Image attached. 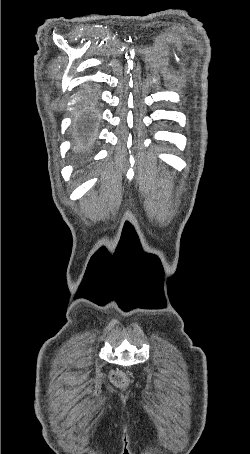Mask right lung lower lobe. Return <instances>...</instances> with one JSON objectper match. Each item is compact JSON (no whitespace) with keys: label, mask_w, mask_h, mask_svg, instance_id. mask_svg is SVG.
I'll list each match as a JSON object with an SVG mask.
<instances>
[{"label":"right lung lower lobe","mask_w":250,"mask_h":454,"mask_svg":"<svg viewBox=\"0 0 250 454\" xmlns=\"http://www.w3.org/2000/svg\"><path fill=\"white\" fill-rule=\"evenodd\" d=\"M99 123L98 95L91 87L85 86L80 93L73 122L74 129L81 142L90 144L96 139Z\"/></svg>","instance_id":"1"}]
</instances>
